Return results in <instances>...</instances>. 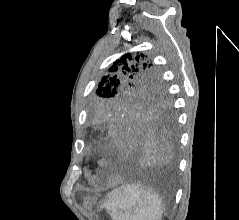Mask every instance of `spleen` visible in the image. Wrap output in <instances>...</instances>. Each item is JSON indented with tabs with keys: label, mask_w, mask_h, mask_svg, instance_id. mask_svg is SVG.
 <instances>
[{
	"label": "spleen",
	"mask_w": 239,
	"mask_h": 220,
	"mask_svg": "<svg viewBox=\"0 0 239 220\" xmlns=\"http://www.w3.org/2000/svg\"><path fill=\"white\" fill-rule=\"evenodd\" d=\"M113 220H162L163 206L158 194L134 184H124L107 195L101 204Z\"/></svg>",
	"instance_id": "3e777b00"
}]
</instances>
